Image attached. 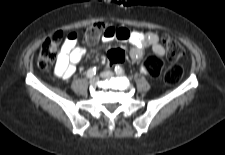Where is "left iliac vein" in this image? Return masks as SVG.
Returning <instances> with one entry per match:
<instances>
[{
	"instance_id": "1",
	"label": "left iliac vein",
	"mask_w": 225,
	"mask_h": 155,
	"mask_svg": "<svg viewBox=\"0 0 225 155\" xmlns=\"http://www.w3.org/2000/svg\"><path fill=\"white\" fill-rule=\"evenodd\" d=\"M113 76H114V74L110 71H104V72L101 73L102 78H110V77H113Z\"/></svg>"
}]
</instances>
